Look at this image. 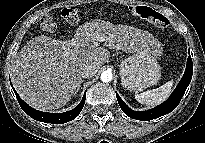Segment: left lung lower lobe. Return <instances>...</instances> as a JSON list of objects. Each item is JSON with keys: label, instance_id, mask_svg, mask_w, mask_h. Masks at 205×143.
Returning a JSON list of instances; mask_svg holds the SVG:
<instances>
[{"label": "left lung lower lobe", "instance_id": "obj_1", "mask_svg": "<svg viewBox=\"0 0 205 143\" xmlns=\"http://www.w3.org/2000/svg\"><path fill=\"white\" fill-rule=\"evenodd\" d=\"M192 73H193V64H192L191 56L189 55L187 60V67L183 78L181 79L180 83L173 91L171 96L164 103L148 111H141V112L133 111L122 101V99L116 93L119 106L121 107V109L126 115L140 121H149L161 117L163 115H166L171 111H173L180 103L188 85L190 84Z\"/></svg>", "mask_w": 205, "mask_h": 143}]
</instances>
